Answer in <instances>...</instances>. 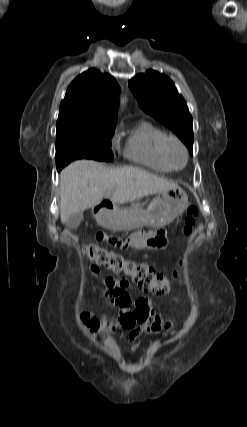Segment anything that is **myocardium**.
<instances>
[{
    "instance_id": "myocardium-1",
    "label": "myocardium",
    "mask_w": 247,
    "mask_h": 427,
    "mask_svg": "<svg viewBox=\"0 0 247 427\" xmlns=\"http://www.w3.org/2000/svg\"><path fill=\"white\" fill-rule=\"evenodd\" d=\"M172 144L178 145L184 153V162L181 166H175L170 160L169 147ZM160 155L163 161L165 162V164L173 171L182 170L187 165L188 158H189L188 150L185 144L178 137L172 136V135H166L162 139L160 143Z\"/></svg>"
}]
</instances>
